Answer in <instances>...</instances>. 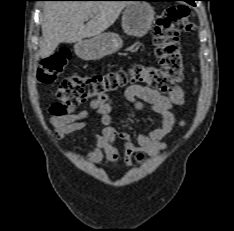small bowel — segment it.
I'll list each match as a JSON object with an SVG mask.
<instances>
[{
	"mask_svg": "<svg viewBox=\"0 0 234 231\" xmlns=\"http://www.w3.org/2000/svg\"><path fill=\"white\" fill-rule=\"evenodd\" d=\"M125 96L140 112L144 110V103H147L150 110L160 116L161 126L140 133L136 141H133L128 133L120 131L113 123V115L117 111L113 100L106 95L98 97L90 106L103 128L92 132L95 148L85 154L86 162L100 163L105 159L111 164H118L120 161L130 164L133 154L138 151L156 156L167 149L168 145L162 140L171 133L176 123L172 109L184 103L183 89L176 86L168 95H162L145 86L133 84L126 89ZM48 110L49 121L58 139L88 128L87 111L61 113L57 104L51 105ZM183 124L180 123L181 126Z\"/></svg>",
	"mask_w": 234,
	"mask_h": 231,
	"instance_id": "1",
	"label": "small bowel"
}]
</instances>
